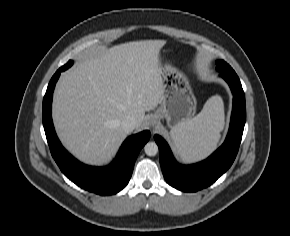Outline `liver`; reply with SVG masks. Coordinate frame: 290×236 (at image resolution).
I'll use <instances>...</instances> for the list:
<instances>
[{"instance_id":"1","label":"liver","mask_w":290,"mask_h":236,"mask_svg":"<svg viewBox=\"0 0 290 236\" xmlns=\"http://www.w3.org/2000/svg\"><path fill=\"white\" fill-rule=\"evenodd\" d=\"M165 40L115 45L82 60L57 83L52 105L56 132L81 162L101 166L111 160L127 133L128 116L142 126L163 90L159 53Z\"/></svg>"}]
</instances>
